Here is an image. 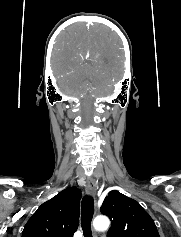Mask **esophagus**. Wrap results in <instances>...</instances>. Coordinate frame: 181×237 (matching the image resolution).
I'll use <instances>...</instances> for the list:
<instances>
[{
    "instance_id": "obj_1",
    "label": "esophagus",
    "mask_w": 181,
    "mask_h": 237,
    "mask_svg": "<svg viewBox=\"0 0 181 237\" xmlns=\"http://www.w3.org/2000/svg\"><path fill=\"white\" fill-rule=\"evenodd\" d=\"M86 192L91 196H95V194H96V184H95L94 180H92V179L87 180Z\"/></svg>"
}]
</instances>
